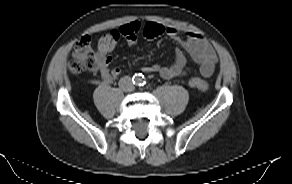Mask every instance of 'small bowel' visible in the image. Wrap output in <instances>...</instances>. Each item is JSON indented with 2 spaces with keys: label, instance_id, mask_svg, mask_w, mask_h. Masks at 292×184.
<instances>
[{
  "label": "small bowel",
  "instance_id": "c3829d8e",
  "mask_svg": "<svg viewBox=\"0 0 292 184\" xmlns=\"http://www.w3.org/2000/svg\"><path fill=\"white\" fill-rule=\"evenodd\" d=\"M163 34L181 43L185 51L191 56L193 61L199 65L203 76L209 77L213 74L217 63V55L211 44L200 34L194 32H181L174 26H163ZM144 25L134 20L119 27L118 32L125 38L129 45L137 42V35L143 31ZM184 35V39H182ZM111 57L107 52L98 51L95 55L94 69L100 72V77L104 83L113 82L121 73L117 67L111 68ZM145 73H158L164 79H171L184 76L186 68V58L181 52L175 55L174 63L171 66H161L160 64L147 65L142 68Z\"/></svg>",
  "mask_w": 292,
  "mask_h": 184
}]
</instances>
